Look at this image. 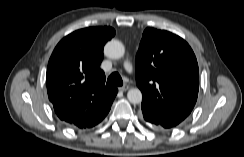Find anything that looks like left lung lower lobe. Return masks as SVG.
<instances>
[{"label":"left lung lower lobe","instance_id":"obj_1","mask_svg":"<svg viewBox=\"0 0 244 157\" xmlns=\"http://www.w3.org/2000/svg\"><path fill=\"white\" fill-rule=\"evenodd\" d=\"M142 113H143V118L146 122L150 123L156 128L166 129L146 109L142 108Z\"/></svg>","mask_w":244,"mask_h":157}]
</instances>
